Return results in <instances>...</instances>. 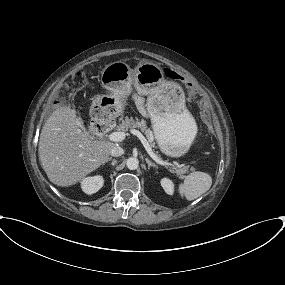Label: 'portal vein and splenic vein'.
Returning <instances> with one entry per match:
<instances>
[{
    "label": "portal vein and splenic vein",
    "mask_w": 285,
    "mask_h": 285,
    "mask_svg": "<svg viewBox=\"0 0 285 285\" xmlns=\"http://www.w3.org/2000/svg\"><path fill=\"white\" fill-rule=\"evenodd\" d=\"M131 133L133 135H136L140 141L142 142L144 148L146 149L147 153L150 155V157L158 164L168 167L170 164L166 161L161 160L151 149L149 143L147 142L146 138L142 135V133L138 130L132 129ZM109 139L114 142H121L125 139L126 133L118 131V132H112L109 134Z\"/></svg>",
    "instance_id": "portal-vein-and-splenic-vein-1"
}]
</instances>
